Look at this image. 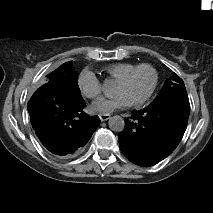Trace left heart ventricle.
I'll return each mask as SVG.
<instances>
[{
	"mask_svg": "<svg viewBox=\"0 0 213 213\" xmlns=\"http://www.w3.org/2000/svg\"><path fill=\"white\" fill-rule=\"evenodd\" d=\"M151 74L148 71L138 73L129 83L116 84L114 91L127 99H135L145 94L151 84Z\"/></svg>",
	"mask_w": 213,
	"mask_h": 213,
	"instance_id": "1",
	"label": "left heart ventricle"
}]
</instances>
